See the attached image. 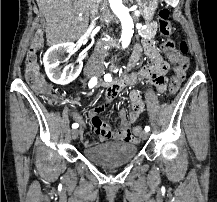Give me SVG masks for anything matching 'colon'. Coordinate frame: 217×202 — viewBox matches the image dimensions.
<instances>
[{
  "label": "colon",
  "mask_w": 217,
  "mask_h": 202,
  "mask_svg": "<svg viewBox=\"0 0 217 202\" xmlns=\"http://www.w3.org/2000/svg\"><path fill=\"white\" fill-rule=\"evenodd\" d=\"M158 25L160 35L163 37L162 46L165 52L170 55V59L174 63V70H178V73H181L179 74V79H185L187 73L184 71L189 68V59L187 57L188 45L184 41L177 45L174 40L170 39L172 26L170 23V10L168 8L163 7L159 9ZM42 42L43 35L40 32L36 33L34 41H30V48L26 53L24 61L25 79L33 86V91H37L43 98H49V103H60L61 94L51 93V91H53V86H49L43 80V77L39 72L38 52L42 47ZM152 73H158V70L153 69ZM173 74L172 76H174ZM172 76L170 78V88L168 91L170 95H175L183 81H175ZM132 132H139V127H132Z\"/></svg>",
  "instance_id": "1"
}]
</instances>
